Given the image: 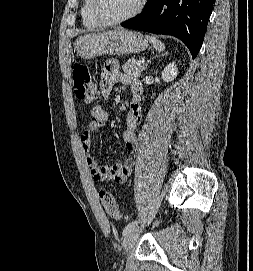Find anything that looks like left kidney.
Masks as SVG:
<instances>
[{"label": "left kidney", "mask_w": 253, "mask_h": 271, "mask_svg": "<svg viewBox=\"0 0 253 271\" xmlns=\"http://www.w3.org/2000/svg\"><path fill=\"white\" fill-rule=\"evenodd\" d=\"M178 75V69L175 62L169 63L162 71V79L165 82L173 81Z\"/></svg>", "instance_id": "left-kidney-1"}]
</instances>
